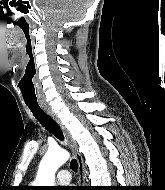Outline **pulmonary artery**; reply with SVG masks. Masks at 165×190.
I'll use <instances>...</instances> for the list:
<instances>
[{
  "instance_id": "obj_1",
  "label": "pulmonary artery",
  "mask_w": 165,
  "mask_h": 190,
  "mask_svg": "<svg viewBox=\"0 0 165 190\" xmlns=\"http://www.w3.org/2000/svg\"><path fill=\"white\" fill-rule=\"evenodd\" d=\"M57 181L60 184H68L71 181V174L68 170L62 169L57 173Z\"/></svg>"
}]
</instances>
